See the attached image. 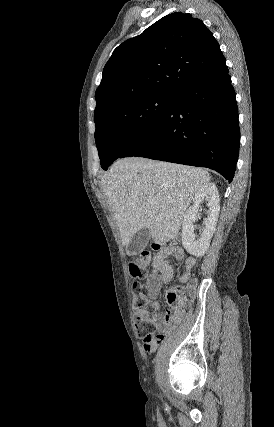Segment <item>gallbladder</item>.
Masks as SVG:
<instances>
[{
	"instance_id": "1",
	"label": "gallbladder",
	"mask_w": 274,
	"mask_h": 427,
	"mask_svg": "<svg viewBox=\"0 0 274 427\" xmlns=\"http://www.w3.org/2000/svg\"><path fill=\"white\" fill-rule=\"evenodd\" d=\"M150 239V233L148 227L145 229H139L135 235H133L130 243L126 245L127 255H137L144 247H146Z\"/></svg>"
}]
</instances>
